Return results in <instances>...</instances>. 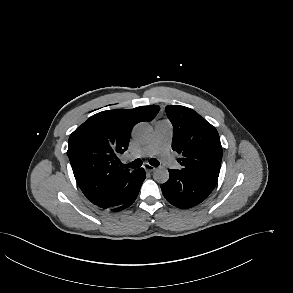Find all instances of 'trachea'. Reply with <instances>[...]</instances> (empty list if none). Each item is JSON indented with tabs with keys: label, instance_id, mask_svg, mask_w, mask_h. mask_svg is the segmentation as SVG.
I'll list each match as a JSON object with an SVG mask.
<instances>
[{
	"label": "trachea",
	"instance_id": "1",
	"mask_svg": "<svg viewBox=\"0 0 293 293\" xmlns=\"http://www.w3.org/2000/svg\"><path fill=\"white\" fill-rule=\"evenodd\" d=\"M150 165L152 166H158L160 163L157 159L151 158L149 160ZM142 165L141 159H136L133 162L129 163L128 165L123 164L124 167H131V168H139Z\"/></svg>",
	"mask_w": 293,
	"mask_h": 293
}]
</instances>
